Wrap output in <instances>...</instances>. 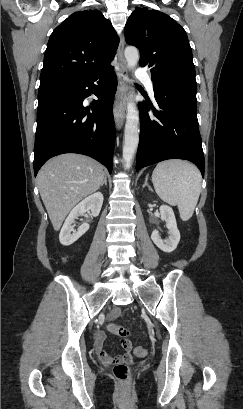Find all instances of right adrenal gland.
<instances>
[{
  "instance_id": "2a0ac1e0",
  "label": "right adrenal gland",
  "mask_w": 243,
  "mask_h": 409,
  "mask_svg": "<svg viewBox=\"0 0 243 409\" xmlns=\"http://www.w3.org/2000/svg\"><path fill=\"white\" fill-rule=\"evenodd\" d=\"M104 184L107 185V176L106 175L104 176V180H103L101 186H103Z\"/></svg>"
}]
</instances>
